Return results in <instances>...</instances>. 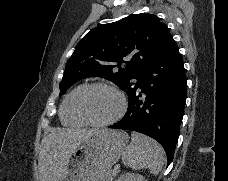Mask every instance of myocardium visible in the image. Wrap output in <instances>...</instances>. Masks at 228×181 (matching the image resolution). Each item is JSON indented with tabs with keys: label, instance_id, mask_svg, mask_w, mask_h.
<instances>
[{
	"label": "myocardium",
	"instance_id": "1",
	"mask_svg": "<svg viewBox=\"0 0 228 181\" xmlns=\"http://www.w3.org/2000/svg\"><path fill=\"white\" fill-rule=\"evenodd\" d=\"M94 88H107L112 90L113 92L116 93V95L118 96L119 99V106L117 108V110L108 118H105L103 120H99V121H93V120H89L83 111V107H82V100L84 95L86 94L87 91L94 89ZM127 99L126 96L124 95V93L115 85L108 83V82H95L92 83L88 86H86L81 93L79 94L77 101H76V110H77V114L78 116L87 124L92 125V126H106L109 125L117 120H119L126 112L127 109Z\"/></svg>",
	"mask_w": 228,
	"mask_h": 181
}]
</instances>
